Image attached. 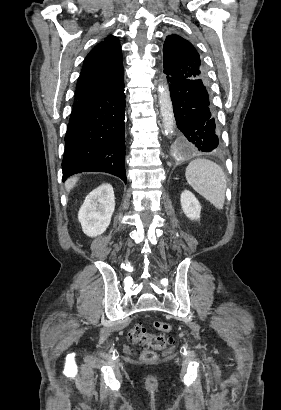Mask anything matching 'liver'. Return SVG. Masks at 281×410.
<instances>
[{"label":"liver","mask_w":281,"mask_h":410,"mask_svg":"<svg viewBox=\"0 0 281 410\" xmlns=\"http://www.w3.org/2000/svg\"><path fill=\"white\" fill-rule=\"evenodd\" d=\"M77 181V177L68 179L65 183L66 190L69 192L76 185Z\"/></svg>","instance_id":"1"}]
</instances>
